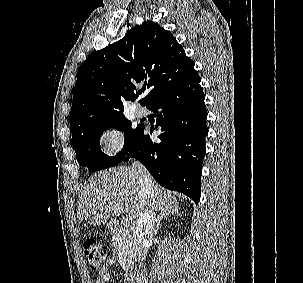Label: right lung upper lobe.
<instances>
[{
	"mask_svg": "<svg viewBox=\"0 0 303 283\" xmlns=\"http://www.w3.org/2000/svg\"><path fill=\"white\" fill-rule=\"evenodd\" d=\"M194 65L170 31L144 21L81 65L70 114L72 134L86 124L124 116L125 100L138 97L137 83L147 86L139 102L148 106L197 73Z\"/></svg>",
	"mask_w": 303,
	"mask_h": 283,
	"instance_id": "right-lung-upper-lobe-1",
	"label": "right lung upper lobe"
}]
</instances>
